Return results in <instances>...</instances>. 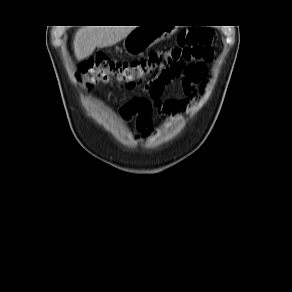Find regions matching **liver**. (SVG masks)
<instances>
[{
  "label": "liver",
  "instance_id": "obj_1",
  "mask_svg": "<svg viewBox=\"0 0 292 292\" xmlns=\"http://www.w3.org/2000/svg\"><path fill=\"white\" fill-rule=\"evenodd\" d=\"M134 26H86L80 28L74 37L73 46L77 60L89 57L96 47L116 44L125 38Z\"/></svg>",
  "mask_w": 292,
  "mask_h": 292
}]
</instances>
